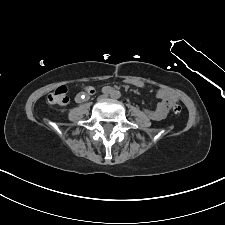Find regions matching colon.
Returning a JSON list of instances; mask_svg holds the SVG:
<instances>
[{
  "label": "colon",
  "mask_w": 225,
  "mask_h": 225,
  "mask_svg": "<svg viewBox=\"0 0 225 225\" xmlns=\"http://www.w3.org/2000/svg\"><path fill=\"white\" fill-rule=\"evenodd\" d=\"M48 102L50 104L65 105L68 103L69 98L67 95V88L65 86L57 87L52 93L48 95ZM173 112L175 114H180L182 112V107L180 105H174Z\"/></svg>",
  "instance_id": "obj_1"
}]
</instances>
